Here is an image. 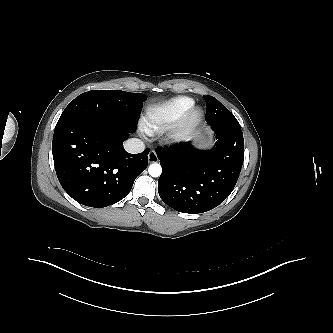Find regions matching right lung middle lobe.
Instances as JSON below:
<instances>
[{
  "instance_id": "dd1d6c3e",
  "label": "right lung middle lobe",
  "mask_w": 333,
  "mask_h": 333,
  "mask_svg": "<svg viewBox=\"0 0 333 333\" xmlns=\"http://www.w3.org/2000/svg\"><path fill=\"white\" fill-rule=\"evenodd\" d=\"M146 96L116 90H93L75 98L57 123L78 122L82 125H113L135 128Z\"/></svg>"
}]
</instances>
